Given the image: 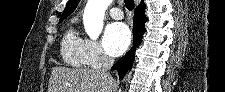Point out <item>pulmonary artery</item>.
Listing matches in <instances>:
<instances>
[{"label": "pulmonary artery", "mask_w": 225, "mask_h": 92, "mask_svg": "<svg viewBox=\"0 0 225 92\" xmlns=\"http://www.w3.org/2000/svg\"><path fill=\"white\" fill-rule=\"evenodd\" d=\"M109 15H110L112 18L117 19V20L123 18V12L121 11L120 8H117V7L110 9V10H109Z\"/></svg>", "instance_id": "pulmonary-artery-1"}]
</instances>
